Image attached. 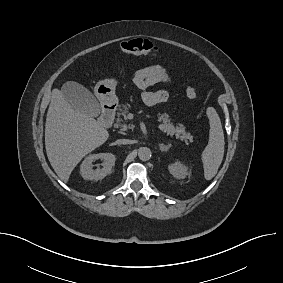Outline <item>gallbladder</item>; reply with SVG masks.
<instances>
[{
  "label": "gallbladder",
  "instance_id": "bac80fb5",
  "mask_svg": "<svg viewBox=\"0 0 283 283\" xmlns=\"http://www.w3.org/2000/svg\"><path fill=\"white\" fill-rule=\"evenodd\" d=\"M61 92L74 110L92 117H97L100 114L101 110L97 100L83 85L67 81L63 84Z\"/></svg>",
  "mask_w": 283,
  "mask_h": 283
}]
</instances>
